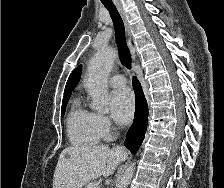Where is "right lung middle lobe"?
<instances>
[{
    "instance_id": "1",
    "label": "right lung middle lobe",
    "mask_w": 224,
    "mask_h": 188,
    "mask_svg": "<svg viewBox=\"0 0 224 188\" xmlns=\"http://www.w3.org/2000/svg\"><path fill=\"white\" fill-rule=\"evenodd\" d=\"M67 102H68V101H64V102H62V109H61V113H62V115H64V113H65V109H66Z\"/></svg>"
}]
</instances>
